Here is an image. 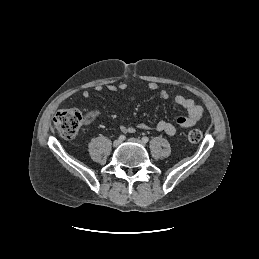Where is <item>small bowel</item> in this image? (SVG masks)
Instances as JSON below:
<instances>
[{"instance_id":"c3829d8e","label":"small bowel","mask_w":259,"mask_h":259,"mask_svg":"<svg viewBox=\"0 0 259 259\" xmlns=\"http://www.w3.org/2000/svg\"><path fill=\"white\" fill-rule=\"evenodd\" d=\"M104 88H106L111 92H119V91L128 90V85L123 82H120L116 85L106 84V85L95 86L96 91H101ZM147 88L150 91H156L158 90L159 85L156 82H150ZM90 95H91V92L87 89L82 92V96L84 98H89ZM159 95L164 100H167L170 98V93L166 90H161ZM174 101L178 106L182 107L187 112L186 116H180L177 118L176 125L167 121H159L154 126H150L145 123H139L137 125V128L143 129V130H155L158 132H163L169 136H173L177 131V127L182 129L189 128L195 125L201 119L203 108L200 105L196 104L193 99L187 98L182 94H177L174 97ZM120 130L123 133L131 134L135 132L136 128L132 126L121 125Z\"/></svg>"}]
</instances>
